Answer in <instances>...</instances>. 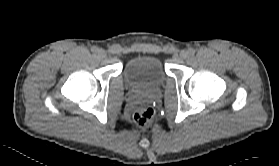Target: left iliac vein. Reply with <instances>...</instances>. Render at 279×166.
<instances>
[{"label": "left iliac vein", "mask_w": 279, "mask_h": 166, "mask_svg": "<svg viewBox=\"0 0 279 166\" xmlns=\"http://www.w3.org/2000/svg\"><path fill=\"white\" fill-rule=\"evenodd\" d=\"M188 56H189V52H188V51L182 50V51L180 52V57H181L182 59H187Z\"/></svg>", "instance_id": "1"}]
</instances>
